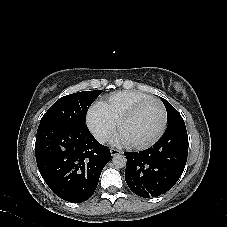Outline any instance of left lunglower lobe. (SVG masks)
<instances>
[{
  "mask_svg": "<svg viewBox=\"0 0 227 227\" xmlns=\"http://www.w3.org/2000/svg\"><path fill=\"white\" fill-rule=\"evenodd\" d=\"M188 146L184 123L167 126L153 147L139 153H124L125 180L132 192L149 198L169 191L185 168Z\"/></svg>",
  "mask_w": 227,
  "mask_h": 227,
  "instance_id": "left-lung-lower-lobe-1",
  "label": "left lung lower lobe"
}]
</instances>
